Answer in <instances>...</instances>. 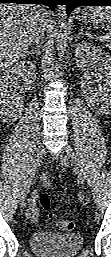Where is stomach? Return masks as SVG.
Here are the masks:
<instances>
[{
    "instance_id": "0dacf381",
    "label": "stomach",
    "mask_w": 111,
    "mask_h": 257,
    "mask_svg": "<svg viewBox=\"0 0 111 257\" xmlns=\"http://www.w3.org/2000/svg\"><path fill=\"white\" fill-rule=\"evenodd\" d=\"M80 19L85 24H101L105 21V17L102 13L95 15L92 8L83 9Z\"/></svg>"
}]
</instances>
